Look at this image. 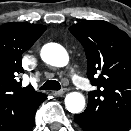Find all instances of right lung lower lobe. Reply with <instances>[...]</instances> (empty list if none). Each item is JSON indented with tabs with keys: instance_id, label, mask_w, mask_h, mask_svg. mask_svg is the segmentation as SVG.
I'll use <instances>...</instances> for the list:
<instances>
[{
	"instance_id": "right-lung-lower-lobe-1",
	"label": "right lung lower lobe",
	"mask_w": 131,
	"mask_h": 131,
	"mask_svg": "<svg viewBox=\"0 0 131 131\" xmlns=\"http://www.w3.org/2000/svg\"><path fill=\"white\" fill-rule=\"evenodd\" d=\"M44 101V100H43ZM32 106L21 107L13 113H0V131H31L37 108L43 102Z\"/></svg>"
}]
</instances>
